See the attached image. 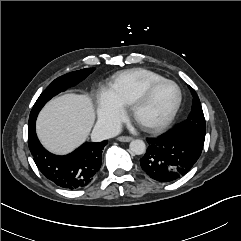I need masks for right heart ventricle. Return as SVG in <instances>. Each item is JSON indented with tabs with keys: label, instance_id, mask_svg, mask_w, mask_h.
Wrapping results in <instances>:
<instances>
[{
	"label": "right heart ventricle",
	"instance_id": "e07e8e85",
	"mask_svg": "<svg viewBox=\"0 0 241 241\" xmlns=\"http://www.w3.org/2000/svg\"><path fill=\"white\" fill-rule=\"evenodd\" d=\"M161 79H164V77L154 71L135 68L116 74L111 89L123 106H130L149 84Z\"/></svg>",
	"mask_w": 241,
	"mask_h": 241
}]
</instances>
